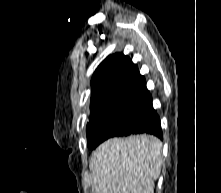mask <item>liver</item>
I'll list each match as a JSON object with an SVG mask.
<instances>
[{"instance_id":"liver-1","label":"liver","mask_w":221,"mask_h":193,"mask_svg":"<svg viewBox=\"0 0 221 193\" xmlns=\"http://www.w3.org/2000/svg\"><path fill=\"white\" fill-rule=\"evenodd\" d=\"M162 166V143L150 135L112 138L90 159L95 193H153Z\"/></svg>"}]
</instances>
